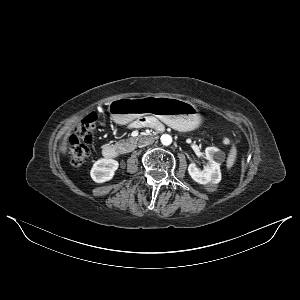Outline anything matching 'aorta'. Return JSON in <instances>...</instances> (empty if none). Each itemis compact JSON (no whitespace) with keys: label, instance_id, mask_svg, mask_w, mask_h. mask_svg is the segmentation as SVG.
Masks as SVG:
<instances>
[{"label":"aorta","instance_id":"1","mask_svg":"<svg viewBox=\"0 0 300 300\" xmlns=\"http://www.w3.org/2000/svg\"><path fill=\"white\" fill-rule=\"evenodd\" d=\"M161 143L165 146H169L172 143V137L169 134H163L161 136Z\"/></svg>","mask_w":300,"mask_h":300}]
</instances>
